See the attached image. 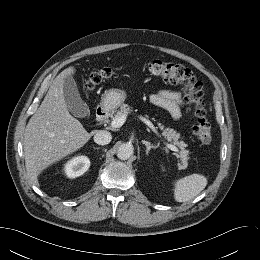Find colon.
<instances>
[{"label": "colon", "mask_w": 260, "mask_h": 260, "mask_svg": "<svg viewBox=\"0 0 260 260\" xmlns=\"http://www.w3.org/2000/svg\"><path fill=\"white\" fill-rule=\"evenodd\" d=\"M147 71L150 75L166 83L184 87L185 101L194 120L193 134L200 142L209 143L212 139V129L203 103L202 83L192 71L184 65L161 60L150 61L147 64ZM112 74L113 71L110 68H103L91 73L86 88L92 90L97 84L110 78Z\"/></svg>", "instance_id": "1"}]
</instances>
